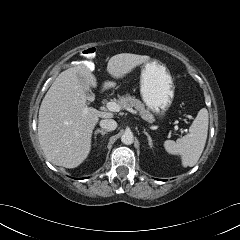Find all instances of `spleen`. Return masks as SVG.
Wrapping results in <instances>:
<instances>
[{"label":"spleen","mask_w":240,"mask_h":240,"mask_svg":"<svg viewBox=\"0 0 240 240\" xmlns=\"http://www.w3.org/2000/svg\"><path fill=\"white\" fill-rule=\"evenodd\" d=\"M209 116L202 108L189 128V133L177 141L166 140L165 150L172 155H180L183 167H193L199 160L207 139Z\"/></svg>","instance_id":"3e777b00"}]
</instances>
